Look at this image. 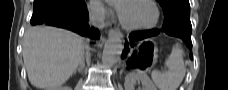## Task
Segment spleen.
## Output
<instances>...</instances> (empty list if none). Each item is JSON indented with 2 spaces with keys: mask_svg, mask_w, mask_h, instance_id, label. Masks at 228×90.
Segmentation results:
<instances>
[{
  "mask_svg": "<svg viewBox=\"0 0 228 90\" xmlns=\"http://www.w3.org/2000/svg\"><path fill=\"white\" fill-rule=\"evenodd\" d=\"M181 48L176 45L171 54L165 60L166 72L154 70L151 72V78L159 90H177L184 79L186 68L182 56Z\"/></svg>",
  "mask_w": 228,
  "mask_h": 90,
  "instance_id": "obj_1",
  "label": "spleen"
}]
</instances>
